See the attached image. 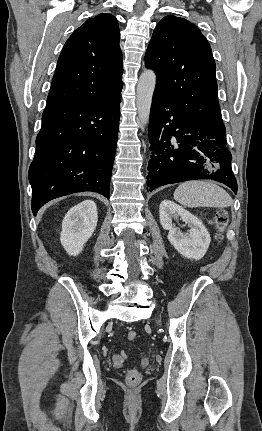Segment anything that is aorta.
<instances>
[{"label": "aorta", "mask_w": 262, "mask_h": 431, "mask_svg": "<svg viewBox=\"0 0 262 431\" xmlns=\"http://www.w3.org/2000/svg\"><path fill=\"white\" fill-rule=\"evenodd\" d=\"M156 86V75L153 70H145L137 84L136 105L141 125L149 122L152 97Z\"/></svg>", "instance_id": "aorta-1"}]
</instances>
